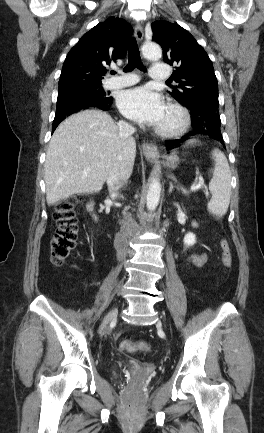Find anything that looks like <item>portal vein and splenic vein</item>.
Wrapping results in <instances>:
<instances>
[{
	"label": "portal vein and splenic vein",
	"mask_w": 264,
	"mask_h": 433,
	"mask_svg": "<svg viewBox=\"0 0 264 433\" xmlns=\"http://www.w3.org/2000/svg\"><path fill=\"white\" fill-rule=\"evenodd\" d=\"M88 171H89V169L85 170V171L83 172V174H84V175H87V174H88ZM203 186H204V182H203V181H200L198 184H196V185H192L190 189H191V191H197V190L201 189ZM205 194L208 195V191H205Z\"/></svg>",
	"instance_id": "18ae733b"
}]
</instances>
